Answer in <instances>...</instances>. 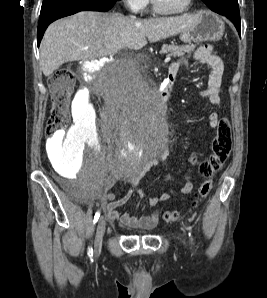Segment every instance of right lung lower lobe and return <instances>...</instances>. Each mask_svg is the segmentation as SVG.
I'll return each instance as SVG.
<instances>
[{
    "label": "right lung lower lobe",
    "mask_w": 267,
    "mask_h": 298,
    "mask_svg": "<svg viewBox=\"0 0 267 298\" xmlns=\"http://www.w3.org/2000/svg\"><path fill=\"white\" fill-rule=\"evenodd\" d=\"M117 0H47L43 1L38 23V46L43 34L53 21L79 11H101L111 9Z\"/></svg>",
    "instance_id": "obj_1"
}]
</instances>
